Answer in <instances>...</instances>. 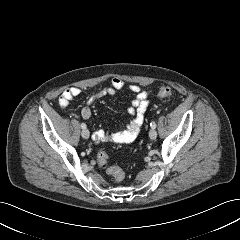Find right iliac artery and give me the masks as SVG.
<instances>
[{"mask_svg": "<svg viewBox=\"0 0 240 240\" xmlns=\"http://www.w3.org/2000/svg\"><path fill=\"white\" fill-rule=\"evenodd\" d=\"M81 128H82V129H86V124H85V123H82V124H81Z\"/></svg>", "mask_w": 240, "mask_h": 240, "instance_id": "right-iliac-artery-1", "label": "right iliac artery"}]
</instances>
